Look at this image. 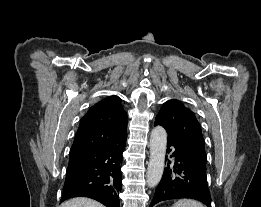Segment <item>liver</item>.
<instances>
[{"mask_svg": "<svg viewBox=\"0 0 261 207\" xmlns=\"http://www.w3.org/2000/svg\"><path fill=\"white\" fill-rule=\"evenodd\" d=\"M60 207H105L89 198H73L64 202Z\"/></svg>", "mask_w": 261, "mask_h": 207, "instance_id": "6515ba94", "label": "liver"}]
</instances>
